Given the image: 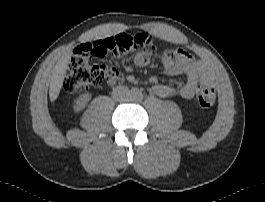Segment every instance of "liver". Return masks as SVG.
<instances>
[{
  "mask_svg": "<svg viewBox=\"0 0 265 202\" xmlns=\"http://www.w3.org/2000/svg\"><path fill=\"white\" fill-rule=\"evenodd\" d=\"M70 56L71 52L63 55L52 70L49 88V98L51 102H54L60 94Z\"/></svg>",
  "mask_w": 265,
  "mask_h": 202,
  "instance_id": "liver-1",
  "label": "liver"
}]
</instances>
